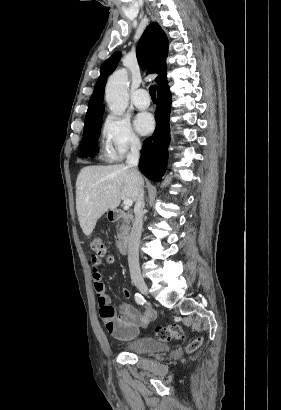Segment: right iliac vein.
Wrapping results in <instances>:
<instances>
[{
	"mask_svg": "<svg viewBox=\"0 0 281 410\" xmlns=\"http://www.w3.org/2000/svg\"><path fill=\"white\" fill-rule=\"evenodd\" d=\"M135 286L138 288V290L142 294H144V295L148 294V286L144 281L140 280V281L135 282Z\"/></svg>",
	"mask_w": 281,
	"mask_h": 410,
	"instance_id": "63e3f726",
	"label": "right iliac vein"
}]
</instances>
